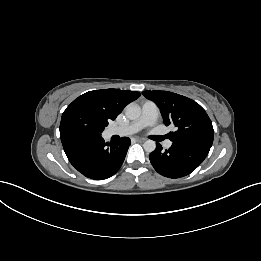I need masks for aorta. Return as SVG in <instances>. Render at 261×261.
<instances>
[{
    "instance_id": "1",
    "label": "aorta",
    "mask_w": 261,
    "mask_h": 261,
    "mask_svg": "<svg viewBox=\"0 0 261 261\" xmlns=\"http://www.w3.org/2000/svg\"><path fill=\"white\" fill-rule=\"evenodd\" d=\"M125 115L130 120H136L141 116V108L135 103H130L125 108ZM146 152H153L156 148V143L153 140H147L143 144Z\"/></svg>"
}]
</instances>
